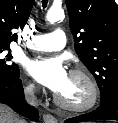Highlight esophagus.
Returning a JSON list of instances; mask_svg holds the SVG:
<instances>
[{"instance_id":"1","label":"esophagus","mask_w":118,"mask_h":123,"mask_svg":"<svg viewBox=\"0 0 118 123\" xmlns=\"http://www.w3.org/2000/svg\"><path fill=\"white\" fill-rule=\"evenodd\" d=\"M43 118L46 123H57L56 118L49 113L44 114Z\"/></svg>"}]
</instances>
